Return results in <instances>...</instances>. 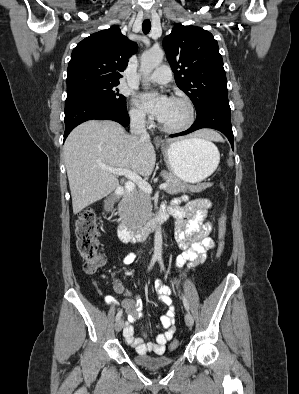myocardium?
Returning a JSON list of instances; mask_svg holds the SVG:
<instances>
[{"label": "myocardium", "mask_w": 299, "mask_h": 394, "mask_svg": "<svg viewBox=\"0 0 299 394\" xmlns=\"http://www.w3.org/2000/svg\"><path fill=\"white\" fill-rule=\"evenodd\" d=\"M171 100L182 102L187 107L188 112H189L188 120L185 124H183L181 126L170 127V126L163 124L161 122V120L159 119V126L163 131L168 132V133L184 132V131L188 130L193 125V123L195 121V116H196L195 107H194L192 101L185 96H173V97H171Z\"/></svg>", "instance_id": "f54148a6"}]
</instances>
